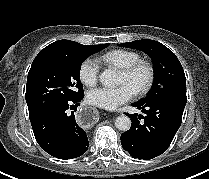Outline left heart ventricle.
Listing matches in <instances>:
<instances>
[{
    "label": "left heart ventricle",
    "mask_w": 209,
    "mask_h": 179,
    "mask_svg": "<svg viewBox=\"0 0 209 179\" xmlns=\"http://www.w3.org/2000/svg\"><path fill=\"white\" fill-rule=\"evenodd\" d=\"M145 72L139 71L134 77L128 78L123 73L120 74L119 83H128L130 84L135 90L144 82L145 80Z\"/></svg>",
    "instance_id": "1"
}]
</instances>
